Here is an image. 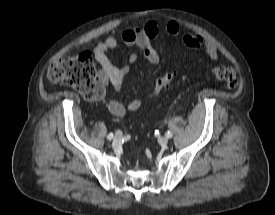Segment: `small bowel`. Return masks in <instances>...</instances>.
<instances>
[{
  "instance_id": "1",
  "label": "small bowel",
  "mask_w": 275,
  "mask_h": 215,
  "mask_svg": "<svg viewBox=\"0 0 275 215\" xmlns=\"http://www.w3.org/2000/svg\"><path fill=\"white\" fill-rule=\"evenodd\" d=\"M166 31L171 36H178L180 33L179 24L170 20L166 25ZM159 26L154 20L148 21L142 26L126 28L121 32L122 42L132 50L129 55V63L134 64L139 58V54L150 64L157 65L160 61L158 51L152 43L158 36ZM183 43L186 47L193 50L203 49L204 52L213 60L219 59V53L215 46L204 40L201 36L194 33H186L183 36ZM119 42L115 37L109 36L101 43L97 44L94 49V56L99 65L98 77L104 86L111 85L114 89L119 90L122 87L124 78L129 73V66H114L109 58L108 52L118 48ZM140 100L134 99L129 102L127 108L115 99L107 100L108 110L115 116L125 115L126 110L134 111L140 107Z\"/></svg>"
}]
</instances>
